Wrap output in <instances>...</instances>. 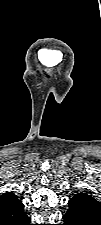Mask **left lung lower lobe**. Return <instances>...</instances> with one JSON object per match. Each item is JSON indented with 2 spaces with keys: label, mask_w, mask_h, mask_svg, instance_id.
<instances>
[{
  "label": "left lung lower lobe",
  "mask_w": 101,
  "mask_h": 225,
  "mask_svg": "<svg viewBox=\"0 0 101 225\" xmlns=\"http://www.w3.org/2000/svg\"><path fill=\"white\" fill-rule=\"evenodd\" d=\"M63 219V225H101L100 215L75 209H68Z\"/></svg>",
  "instance_id": "obj_1"
}]
</instances>
